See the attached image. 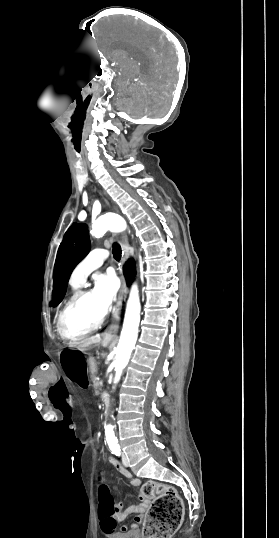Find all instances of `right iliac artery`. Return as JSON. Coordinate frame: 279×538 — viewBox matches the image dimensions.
Masks as SVG:
<instances>
[{
	"label": "right iliac artery",
	"instance_id": "82829eb1",
	"mask_svg": "<svg viewBox=\"0 0 279 538\" xmlns=\"http://www.w3.org/2000/svg\"><path fill=\"white\" fill-rule=\"evenodd\" d=\"M113 453H114L116 456H120V455H121V451H120V450H115V451H113Z\"/></svg>",
	"mask_w": 279,
	"mask_h": 538
}]
</instances>
